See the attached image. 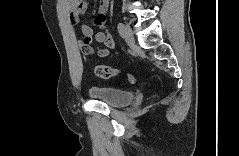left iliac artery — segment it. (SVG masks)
<instances>
[{
	"instance_id": "obj_1",
	"label": "left iliac artery",
	"mask_w": 239,
	"mask_h": 156,
	"mask_svg": "<svg viewBox=\"0 0 239 156\" xmlns=\"http://www.w3.org/2000/svg\"><path fill=\"white\" fill-rule=\"evenodd\" d=\"M117 28H118L120 35H122L124 33V24L121 22L118 23Z\"/></svg>"
}]
</instances>
